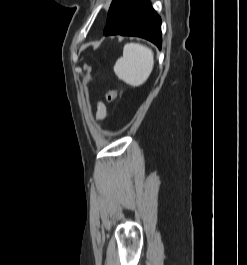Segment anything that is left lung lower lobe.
<instances>
[{"instance_id":"obj_1","label":"left lung lower lobe","mask_w":247,"mask_h":265,"mask_svg":"<svg viewBox=\"0 0 247 265\" xmlns=\"http://www.w3.org/2000/svg\"><path fill=\"white\" fill-rule=\"evenodd\" d=\"M103 34L138 36L161 48V19L149 0H113Z\"/></svg>"}]
</instances>
